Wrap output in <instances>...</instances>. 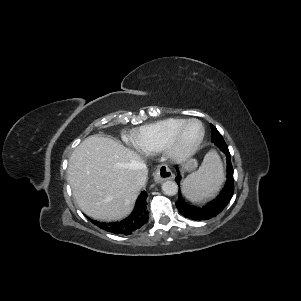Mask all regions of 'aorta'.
Wrapping results in <instances>:
<instances>
[{
    "instance_id": "obj_1",
    "label": "aorta",
    "mask_w": 301,
    "mask_h": 301,
    "mask_svg": "<svg viewBox=\"0 0 301 301\" xmlns=\"http://www.w3.org/2000/svg\"><path fill=\"white\" fill-rule=\"evenodd\" d=\"M162 190L166 195H176L178 192V185L175 181L167 180L162 184Z\"/></svg>"
}]
</instances>
